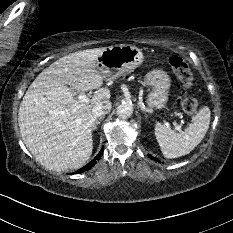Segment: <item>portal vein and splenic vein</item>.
I'll use <instances>...</instances> for the list:
<instances>
[{"mask_svg":"<svg viewBox=\"0 0 233 233\" xmlns=\"http://www.w3.org/2000/svg\"><path fill=\"white\" fill-rule=\"evenodd\" d=\"M78 100L81 103H87V102H89V98L85 94H79L78 95ZM173 124L176 126V130H180L181 129V126L177 125L176 122H173Z\"/></svg>","mask_w":233,"mask_h":233,"instance_id":"obj_1","label":"portal vein and splenic vein"}]
</instances>
